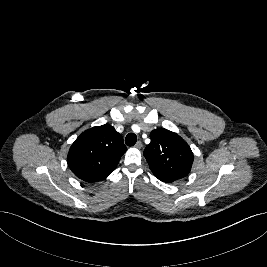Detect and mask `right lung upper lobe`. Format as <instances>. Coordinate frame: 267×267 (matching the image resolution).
Returning <instances> with one entry per match:
<instances>
[{
    "label": "right lung upper lobe",
    "instance_id": "obj_1",
    "mask_svg": "<svg viewBox=\"0 0 267 267\" xmlns=\"http://www.w3.org/2000/svg\"><path fill=\"white\" fill-rule=\"evenodd\" d=\"M127 151L123 137L105 124L84 131L70 147L67 163L71 171L86 182L104 180Z\"/></svg>",
    "mask_w": 267,
    "mask_h": 267
}]
</instances>
